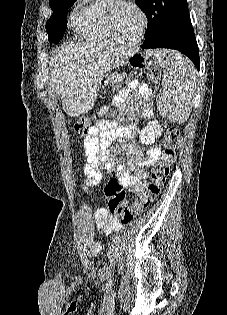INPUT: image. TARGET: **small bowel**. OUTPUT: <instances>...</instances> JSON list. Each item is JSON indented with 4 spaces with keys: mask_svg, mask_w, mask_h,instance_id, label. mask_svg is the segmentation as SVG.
I'll return each instance as SVG.
<instances>
[{
    "mask_svg": "<svg viewBox=\"0 0 227 315\" xmlns=\"http://www.w3.org/2000/svg\"><path fill=\"white\" fill-rule=\"evenodd\" d=\"M151 98V90L146 84H141L136 80L128 83L123 89L118 99L129 101L131 99L138 102H148ZM150 112L149 107L146 113ZM132 131L126 127H112L104 121H99L90 128L88 135L84 139L85 161L83 164L84 180L82 188L90 193V188L96 186L102 179V170L106 173L114 172L118 182L128 188L131 192H137L143 186V182L148 178V169L158 161L161 150L159 147H152L144 153L141 149L133 147L129 138ZM114 141H119L128 150L132 157H124L118 162L113 154L117 152L113 145ZM96 228L109 234L122 229L115 217L108 208L101 207L93 212Z\"/></svg>",
    "mask_w": 227,
    "mask_h": 315,
    "instance_id": "1",
    "label": "small bowel"
}]
</instances>
